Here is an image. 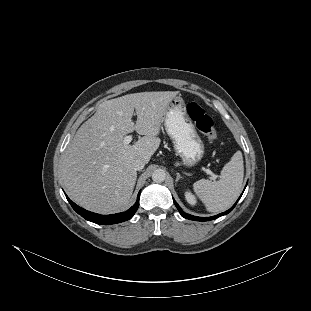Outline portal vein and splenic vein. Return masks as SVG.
Segmentation results:
<instances>
[{"mask_svg":"<svg viewBox=\"0 0 311 311\" xmlns=\"http://www.w3.org/2000/svg\"><path fill=\"white\" fill-rule=\"evenodd\" d=\"M133 138H132V135H127L124 137L123 139V144L124 145H128L132 142ZM203 171L207 174V175H210L212 179H216L217 178V175L214 174L210 169H207V168H204Z\"/></svg>","mask_w":311,"mask_h":311,"instance_id":"1","label":"portal vein and splenic vein"}]
</instances>
